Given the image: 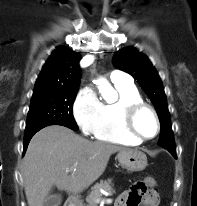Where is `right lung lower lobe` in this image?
I'll list each match as a JSON object with an SVG mask.
<instances>
[{
    "mask_svg": "<svg viewBox=\"0 0 197 206\" xmlns=\"http://www.w3.org/2000/svg\"><path fill=\"white\" fill-rule=\"evenodd\" d=\"M35 133H36V132H35ZM35 133L30 134V135H28V136H24L23 155L25 154L26 149H27V146H28L31 138L33 137V135H34Z\"/></svg>",
    "mask_w": 197,
    "mask_h": 206,
    "instance_id": "right-lung-lower-lobe-1",
    "label": "right lung lower lobe"
}]
</instances>
